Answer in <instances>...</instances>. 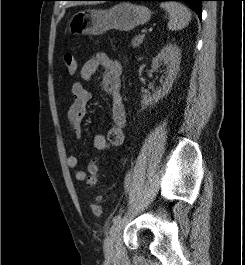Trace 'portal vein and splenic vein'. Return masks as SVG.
<instances>
[{
	"label": "portal vein and splenic vein",
	"mask_w": 245,
	"mask_h": 265,
	"mask_svg": "<svg viewBox=\"0 0 245 265\" xmlns=\"http://www.w3.org/2000/svg\"><path fill=\"white\" fill-rule=\"evenodd\" d=\"M142 39L145 38V33H142L141 36H140Z\"/></svg>",
	"instance_id": "1"
}]
</instances>
